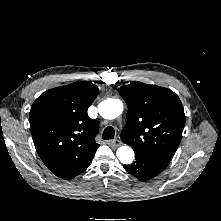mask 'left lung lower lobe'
<instances>
[{
    "instance_id": "1",
    "label": "left lung lower lobe",
    "mask_w": 221,
    "mask_h": 221,
    "mask_svg": "<svg viewBox=\"0 0 221 221\" xmlns=\"http://www.w3.org/2000/svg\"><path fill=\"white\" fill-rule=\"evenodd\" d=\"M134 152L136 160L131 165H124V168L139 180H147L155 177L169 163V160L166 159L145 155L139 151Z\"/></svg>"
}]
</instances>
